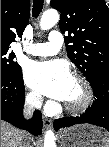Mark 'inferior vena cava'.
I'll return each instance as SVG.
<instances>
[{"label": "inferior vena cava", "mask_w": 109, "mask_h": 147, "mask_svg": "<svg viewBox=\"0 0 109 147\" xmlns=\"http://www.w3.org/2000/svg\"><path fill=\"white\" fill-rule=\"evenodd\" d=\"M43 102V98L40 94H34L30 98L29 104L24 108V117L29 119L32 117L34 113L35 106H41ZM23 147H29V143L24 140Z\"/></svg>", "instance_id": "602c4592"}]
</instances>
